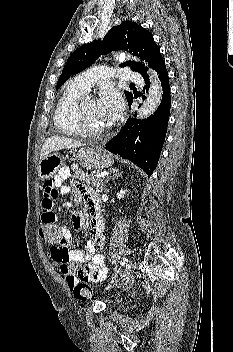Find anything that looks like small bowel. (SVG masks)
<instances>
[{
  "mask_svg": "<svg viewBox=\"0 0 233 352\" xmlns=\"http://www.w3.org/2000/svg\"><path fill=\"white\" fill-rule=\"evenodd\" d=\"M70 176V170L62 167L58 173L43 185L42 215L43 224L56 225L61 228L65 243L62 246H52L48 250V256L56 264L60 272L65 276L68 287L72 290L79 282H102L106 279L108 269L106 267L103 250L105 248L104 219L98 210L96 194L90 188L72 181L71 186L65 185ZM73 192L75 203L85 200L88 202L91 212V227L87 246L84 250H69L73 240L72 232L65 226L58 224L57 215L53 212V202L60 195ZM74 229H81L84 218L78 210L71 216ZM86 263L83 267L79 264Z\"/></svg>",
  "mask_w": 233,
  "mask_h": 352,
  "instance_id": "small-bowel-1",
  "label": "small bowel"
}]
</instances>
